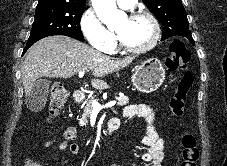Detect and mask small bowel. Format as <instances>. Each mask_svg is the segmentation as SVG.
<instances>
[{
	"label": "small bowel",
	"mask_w": 227,
	"mask_h": 166,
	"mask_svg": "<svg viewBox=\"0 0 227 166\" xmlns=\"http://www.w3.org/2000/svg\"><path fill=\"white\" fill-rule=\"evenodd\" d=\"M123 116L126 118L142 117L146 121V135L143 138V143L146 150L140 154V159L148 162L150 166H162L164 160L163 148L164 140L158 135L154 124L155 113L147 104H132L128 105L123 110ZM117 124L119 126V121ZM117 126V127H118ZM76 129L68 127L61 134V138L55 143L58 145L60 152L69 151L71 155H77L80 152V146L76 143L69 144V141L75 139ZM52 142L45 143L49 146Z\"/></svg>",
	"instance_id": "small-bowel-1"
}]
</instances>
